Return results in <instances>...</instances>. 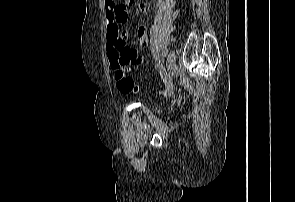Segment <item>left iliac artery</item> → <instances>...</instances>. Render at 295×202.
Listing matches in <instances>:
<instances>
[{
	"mask_svg": "<svg viewBox=\"0 0 295 202\" xmlns=\"http://www.w3.org/2000/svg\"><path fill=\"white\" fill-rule=\"evenodd\" d=\"M162 55H163V56H166V55H167V51L164 50V51L162 52Z\"/></svg>",
	"mask_w": 295,
	"mask_h": 202,
	"instance_id": "1",
	"label": "left iliac artery"
}]
</instances>
